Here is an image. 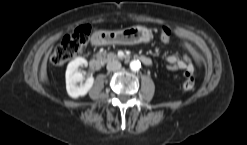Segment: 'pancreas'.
<instances>
[{
    "label": "pancreas",
    "mask_w": 247,
    "mask_h": 145,
    "mask_svg": "<svg viewBox=\"0 0 247 145\" xmlns=\"http://www.w3.org/2000/svg\"><path fill=\"white\" fill-rule=\"evenodd\" d=\"M102 55H103V58H104L105 61H109L111 59H116L117 58V55H115L114 53H110V54H107V55L105 53H103Z\"/></svg>",
    "instance_id": "1"
}]
</instances>
